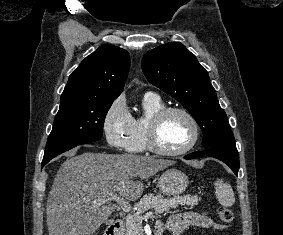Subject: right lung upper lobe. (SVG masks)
<instances>
[{"instance_id": "cb5924a9", "label": "right lung upper lobe", "mask_w": 283, "mask_h": 235, "mask_svg": "<svg viewBox=\"0 0 283 235\" xmlns=\"http://www.w3.org/2000/svg\"><path fill=\"white\" fill-rule=\"evenodd\" d=\"M129 66L126 50L113 45L100 46L69 76L61 102L113 101L123 90Z\"/></svg>"}]
</instances>
